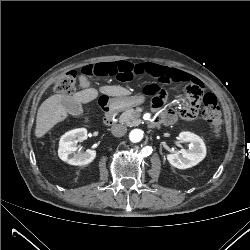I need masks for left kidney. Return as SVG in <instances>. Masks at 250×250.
Masks as SVG:
<instances>
[{
  "label": "left kidney",
  "mask_w": 250,
  "mask_h": 250,
  "mask_svg": "<svg viewBox=\"0 0 250 250\" xmlns=\"http://www.w3.org/2000/svg\"><path fill=\"white\" fill-rule=\"evenodd\" d=\"M181 142H188L189 149H181L174 154H167L169 163L178 169H187L197 165L206 156V146L203 140L192 132H181L178 135Z\"/></svg>",
  "instance_id": "obj_1"
}]
</instances>
